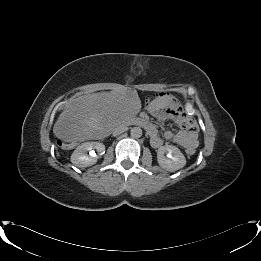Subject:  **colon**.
Listing matches in <instances>:
<instances>
[{
    "label": "colon",
    "mask_w": 261,
    "mask_h": 261,
    "mask_svg": "<svg viewBox=\"0 0 261 261\" xmlns=\"http://www.w3.org/2000/svg\"><path fill=\"white\" fill-rule=\"evenodd\" d=\"M62 146L63 147H71V146H73V144L72 143H69V144L63 143ZM195 152H196V150L193 147L186 148V153L188 155H193V154H195Z\"/></svg>",
    "instance_id": "5ec220e1"
}]
</instances>
